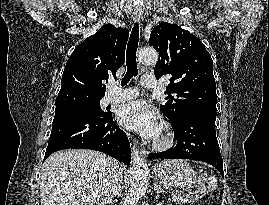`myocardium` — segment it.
<instances>
[{"label":"myocardium","instance_id":"obj_1","mask_svg":"<svg viewBox=\"0 0 269 205\" xmlns=\"http://www.w3.org/2000/svg\"><path fill=\"white\" fill-rule=\"evenodd\" d=\"M173 144V138L168 130H163V132L157 137L153 144V148L156 150H166L170 148Z\"/></svg>","mask_w":269,"mask_h":205}]
</instances>
